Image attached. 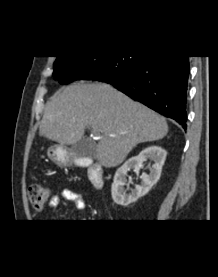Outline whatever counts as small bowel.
<instances>
[{
    "label": "small bowel",
    "mask_w": 218,
    "mask_h": 277,
    "mask_svg": "<svg viewBox=\"0 0 218 277\" xmlns=\"http://www.w3.org/2000/svg\"><path fill=\"white\" fill-rule=\"evenodd\" d=\"M62 200L70 201L78 210H83L86 207L84 196L72 189H63L59 194L52 196L49 206L56 208Z\"/></svg>",
    "instance_id": "1"
}]
</instances>
